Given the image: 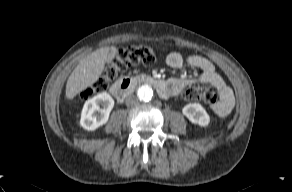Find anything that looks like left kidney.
<instances>
[{"label": "left kidney", "mask_w": 292, "mask_h": 192, "mask_svg": "<svg viewBox=\"0 0 292 192\" xmlns=\"http://www.w3.org/2000/svg\"><path fill=\"white\" fill-rule=\"evenodd\" d=\"M182 113L189 119L193 124L200 126H207L210 122V117L206 110L199 103H190L183 107Z\"/></svg>", "instance_id": "1"}]
</instances>
